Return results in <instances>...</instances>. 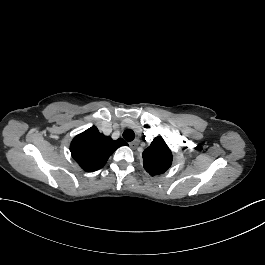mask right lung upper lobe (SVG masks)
<instances>
[{"label":"right lung upper lobe","instance_id":"obj_1","mask_svg":"<svg viewBox=\"0 0 265 265\" xmlns=\"http://www.w3.org/2000/svg\"><path fill=\"white\" fill-rule=\"evenodd\" d=\"M126 144L122 138L113 140L100 133L97 127L92 126L74 137L70 151L74 160L83 170L93 172L103 167L109 156L118 147Z\"/></svg>","mask_w":265,"mask_h":265}]
</instances>
